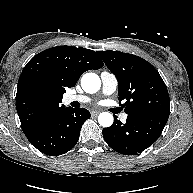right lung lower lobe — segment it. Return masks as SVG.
I'll return each instance as SVG.
<instances>
[{"label":"right lung lower lobe","mask_w":193,"mask_h":193,"mask_svg":"<svg viewBox=\"0 0 193 193\" xmlns=\"http://www.w3.org/2000/svg\"><path fill=\"white\" fill-rule=\"evenodd\" d=\"M89 118L90 112L87 109L67 107L26 137L42 153L61 155L76 145L81 127Z\"/></svg>","instance_id":"obj_1"}]
</instances>
